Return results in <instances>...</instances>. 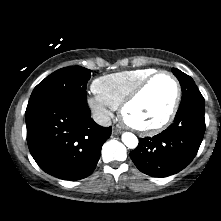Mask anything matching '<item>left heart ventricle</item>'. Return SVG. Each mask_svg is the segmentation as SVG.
Listing matches in <instances>:
<instances>
[{
	"instance_id": "1",
	"label": "left heart ventricle",
	"mask_w": 221,
	"mask_h": 221,
	"mask_svg": "<svg viewBox=\"0 0 221 221\" xmlns=\"http://www.w3.org/2000/svg\"><path fill=\"white\" fill-rule=\"evenodd\" d=\"M174 97L175 86L172 80L166 75L158 76L128 107L126 117L138 127L154 126L166 117Z\"/></svg>"
}]
</instances>
